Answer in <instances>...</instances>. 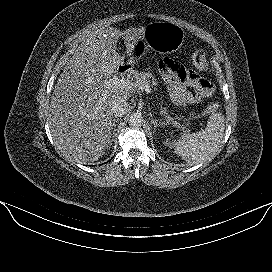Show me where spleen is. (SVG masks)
Wrapping results in <instances>:
<instances>
[{
	"label": "spleen",
	"instance_id": "obj_1",
	"mask_svg": "<svg viewBox=\"0 0 272 272\" xmlns=\"http://www.w3.org/2000/svg\"><path fill=\"white\" fill-rule=\"evenodd\" d=\"M225 130V119L222 113H213L205 130L196 133L182 134L173 142L174 152L189 165L209 160L216 154L222 144Z\"/></svg>",
	"mask_w": 272,
	"mask_h": 272
}]
</instances>
